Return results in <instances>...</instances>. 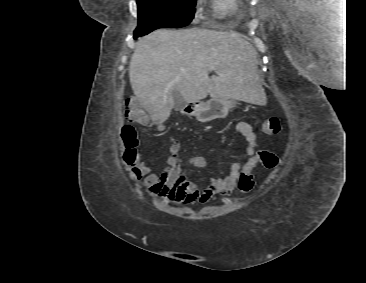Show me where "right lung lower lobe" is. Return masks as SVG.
Here are the masks:
<instances>
[{
  "instance_id": "obj_1",
  "label": "right lung lower lobe",
  "mask_w": 366,
  "mask_h": 283,
  "mask_svg": "<svg viewBox=\"0 0 366 283\" xmlns=\"http://www.w3.org/2000/svg\"><path fill=\"white\" fill-rule=\"evenodd\" d=\"M134 38L136 39L137 38V35H134Z\"/></svg>"
}]
</instances>
